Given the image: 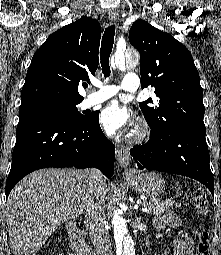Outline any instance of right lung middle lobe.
I'll return each instance as SVG.
<instances>
[{
	"mask_svg": "<svg viewBox=\"0 0 221 255\" xmlns=\"http://www.w3.org/2000/svg\"><path fill=\"white\" fill-rule=\"evenodd\" d=\"M80 102L76 103H44L39 105H34L24 109H20V114L23 113H48L54 114L62 119L66 120L69 123L78 124L86 121L88 116L82 115L78 112L77 105Z\"/></svg>",
	"mask_w": 221,
	"mask_h": 255,
	"instance_id": "1",
	"label": "right lung middle lobe"
}]
</instances>
